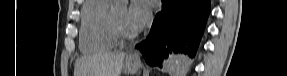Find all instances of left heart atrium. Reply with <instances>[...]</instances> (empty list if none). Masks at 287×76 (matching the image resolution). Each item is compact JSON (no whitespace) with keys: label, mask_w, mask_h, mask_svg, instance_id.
Returning <instances> with one entry per match:
<instances>
[{"label":"left heart atrium","mask_w":287,"mask_h":76,"mask_svg":"<svg viewBox=\"0 0 287 76\" xmlns=\"http://www.w3.org/2000/svg\"><path fill=\"white\" fill-rule=\"evenodd\" d=\"M150 16L149 3L145 0H134L128 9L129 21L136 30L145 27Z\"/></svg>","instance_id":"39dd6f15"}]
</instances>
